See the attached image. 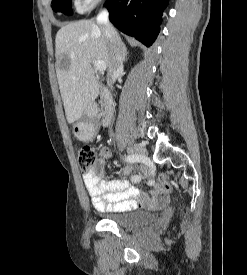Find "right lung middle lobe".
<instances>
[{
    "label": "right lung middle lobe",
    "mask_w": 247,
    "mask_h": 275,
    "mask_svg": "<svg viewBox=\"0 0 247 275\" xmlns=\"http://www.w3.org/2000/svg\"><path fill=\"white\" fill-rule=\"evenodd\" d=\"M52 8L55 12H63L71 15V0H52Z\"/></svg>",
    "instance_id": "1"
}]
</instances>
